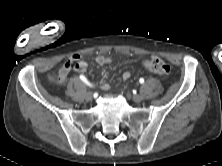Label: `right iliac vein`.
<instances>
[{
  "instance_id": "63e3f726",
  "label": "right iliac vein",
  "mask_w": 222,
  "mask_h": 166,
  "mask_svg": "<svg viewBox=\"0 0 222 166\" xmlns=\"http://www.w3.org/2000/svg\"><path fill=\"white\" fill-rule=\"evenodd\" d=\"M92 97H93V93L91 91L87 92L85 95V98L87 101L92 100Z\"/></svg>"
}]
</instances>
